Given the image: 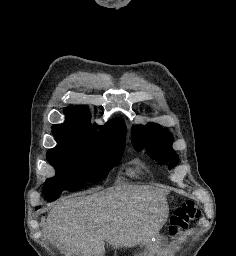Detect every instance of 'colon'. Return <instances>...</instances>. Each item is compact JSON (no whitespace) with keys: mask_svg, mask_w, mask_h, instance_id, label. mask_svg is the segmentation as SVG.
Wrapping results in <instances>:
<instances>
[{"mask_svg":"<svg viewBox=\"0 0 236 256\" xmlns=\"http://www.w3.org/2000/svg\"><path fill=\"white\" fill-rule=\"evenodd\" d=\"M200 217V210L193 200L183 202L171 215L168 242L173 243L176 237L182 236L189 222Z\"/></svg>","mask_w":236,"mask_h":256,"instance_id":"colon-1","label":"colon"}]
</instances>
